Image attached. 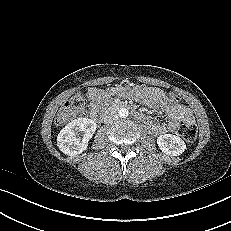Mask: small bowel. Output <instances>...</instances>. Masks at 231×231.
I'll return each instance as SVG.
<instances>
[{
	"label": "small bowel",
	"instance_id": "1",
	"mask_svg": "<svg viewBox=\"0 0 231 231\" xmlns=\"http://www.w3.org/2000/svg\"><path fill=\"white\" fill-rule=\"evenodd\" d=\"M123 88L114 87L107 91L90 89L88 97L90 100L89 108L95 112L99 106L110 96L119 94ZM131 95L134 99L142 102L152 110L162 108L165 113V121L160 123L151 117L142 115V120L146 122L156 135L175 132L180 123H194L192 111L182 104L170 103L168 97L158 88L154 87H136L132 90Z\"/></svg>",
	"mask_w": 231,
	"mask_h": 231
}]
</instances>
